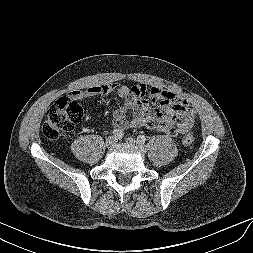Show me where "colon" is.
I'll list each match as a JSON object with an SVG mask.
<instances>
[{"mask_svg":"<svg viewBox=\"0 0 253 253\" xmlns=\"http://www.w3.org/2000/svg\"><path fill=\"white\" fill-rule=\"evenodd\" d=\"M83 115V105L79 99L62 97L49 108L47 118L42 126V132L48 139H56L70 132L80 122ZM194 142V137L188 134L183 143L187 146Z\"/></svg>","mask_w":253,"mask_h":253,"instance_id":"colon-1","label":"colon"}]
</instances>
